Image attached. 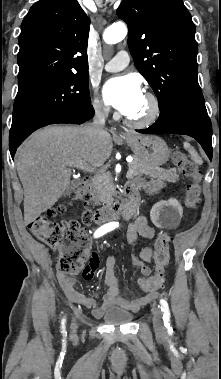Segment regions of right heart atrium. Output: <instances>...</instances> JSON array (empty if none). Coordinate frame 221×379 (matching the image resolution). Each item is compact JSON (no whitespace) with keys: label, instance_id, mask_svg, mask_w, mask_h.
I'll list each match as a JSON object with an SVG mask.
<instances>
[{"label":"right heart atrium","instance_id":"right-heart-atrium-1","mask_svg":"<svg viewBox=\"0 0 221 379\" xmlns=\"http://www.w3.org/2000/svg\"><path fill=\"white\" fill-rule=\"evenodd\" d=\"M92 108L94 112L100 116H106L109 113V108L99 97L97 93L94 94L92 99Z\"/></svg>","mask_w":221,"mask_h":379}]
</instances>
